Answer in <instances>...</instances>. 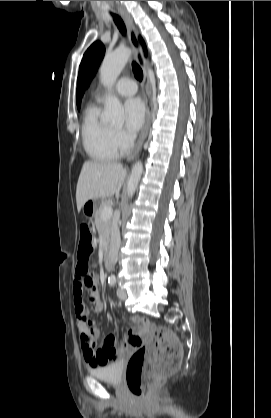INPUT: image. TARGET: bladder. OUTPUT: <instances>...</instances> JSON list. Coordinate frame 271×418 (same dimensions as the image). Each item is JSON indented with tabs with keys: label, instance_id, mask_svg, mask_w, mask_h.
I'll return each mask as SVG.
<instances>
[{
	"label": "bladder",
	"instance_id": "31cf9c89",
	"mask_svg": "<svg viewBox=\"0 0 271 418\" xmlns=\"http://www.w3.org/2000/svg\"><path fill=\"white\" fill-rule=\"evenodd\" d=\"M123 363L121 361H113L99 367H93L89 373L104 382L118 384L122 379Z\"/></svg>",
	"mask_w": 271,
	"mask_h": 418
}]
</instances>
